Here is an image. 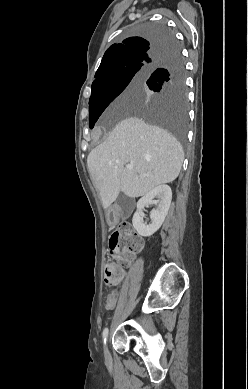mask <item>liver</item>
<instances>
[{
	"label": "liver",
	"mask_w": 248,
	"mask_h": 389,
	"mask_svg": "<svg viewBox=\"0 0 248 389\" xmlns=\"http://www.w3.org/2000/svg\"><path fill=\"white\" fill-rule=\"evenodd\" d=\"M133 95L134 85H131L116 103L130 102ZM183 160L181 144L171 133L140 118L128 117L89 153L87 165L106 209L120 192L135 198L173 182ZM125 165H132V170H127Z\"/></svg>",
	"instance_id": "6515ba94"
}]
</instances>
